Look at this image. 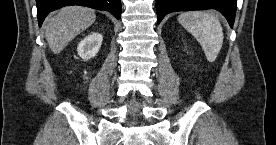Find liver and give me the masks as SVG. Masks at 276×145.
Here are the masks:
<instances>
[{
  "instance_id": "6515ba94",
  "label": "liver",
  "mask_w": 276,
  "mask_h": 145,
  "mask_svg": "<svg viewBox=\"0 0 276 145\" xmlns=\"http://www.w3.org/2000/svg\"><path fill=\"white\" fill-rule=\"evenodd\" d=\"M95 11L80 5L66 6L52 13L45 26L46 40L51 51L59 54L77 35L90 27Z\"/></svg>"
}]
</instances>
